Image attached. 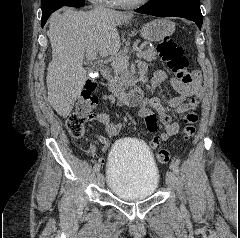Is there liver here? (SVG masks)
<instances>
[{
	"instance_id": "6515ba94",
	"label": "liver",
	"mask_w": 240,
	"mask_h": 238,
	"mask_svg": "<svg viewBox=\"0 0 240 238\" xmlns=\"http://www.w3.org/2000/svg\"><path fill=\"white\" fill-rule=\"evenodd\" d=\"M132 13L107 9L102 12H77L65 8L49 18L47 35L52 47L46 83L50 105L62 117L72 111L86 79L83 68L88 51L102 56L120 48L117 26L128 23Z\"/></svg>"
}]
</instances>
